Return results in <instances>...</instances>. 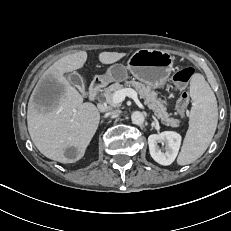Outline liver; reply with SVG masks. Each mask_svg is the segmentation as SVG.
Segmentation results:
<instances>
[{"label":"liver","mask_w":231,"mask_h":231,"mask_svg":"<svg viewBox=\"0 0 231 231\" xmlns=\"http://www.w3.org/2000/svg\"><path fill=\"white\" fill-rule=\"evenodd\" d=\"M126 55L101 52L98 58L103 64H112ZM86 61V51L57 60L43 73L28 103L27 125L34 145L44 156L61 163L83 157L100 120L96 106L83 103V96L64 76L81 69ZM68 147L75 148L72 158L64 155Z\"/></svg>","instance_id":"liver-1"}]
</instances>
